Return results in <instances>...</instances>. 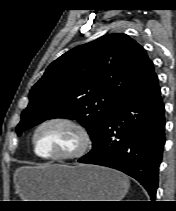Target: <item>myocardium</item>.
I'll list each match as a JSON object with an SVG mask.
<instances>
[{
    "mask_svg": "<svg viewBox=\"0 0 176 211\" xmlns=\"http://www.w3.org/2000/svg\"><path fill=\"white\" fill-rule=\"evenodd\" d=\"M51 124L66 125L76 133L78 138V146L73 152L62 155H48V156L41 155L38 152L36 145L37 135L41 129ZM31 143L35 155L42 160L68 161V160H75L84 156L92 147L93 141L89 130L80 122L65 116H55L45 119L36 126L32 134Z\"/></svg>",
    "mask_w": 176,
    "mask_h": 211,
    "instance_id": "obj_1",
    "label": "myocardium"
}]
</instances>
